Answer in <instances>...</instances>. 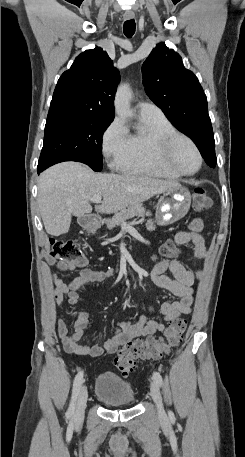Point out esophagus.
<instances>
[{
  "mask_svg": "<svg viewBox=\"0 0 245 457\" xmlns=\"http://www.w3.org/2000/svg\"><path fill=\"white\" fill-rule=\"evenodd\" d=\"M123 18H124L125 20L133 19V18H134V13H133V12H130V13H129V12H126V13H124Z\"/></svg>",
  "mask_w": 245,
  "mask_h": 457,
  "instance_id": "esophagus-1",
  "label": "esophagus"
}]
</instances>
